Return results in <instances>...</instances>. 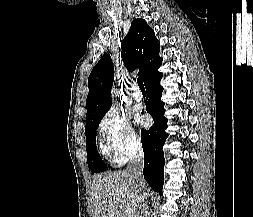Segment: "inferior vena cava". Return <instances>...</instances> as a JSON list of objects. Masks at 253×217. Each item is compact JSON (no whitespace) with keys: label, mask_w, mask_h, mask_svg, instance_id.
Wrapping results in <instances>:
<instances>
[{"label":"inferior vena cava","mask_w":253,"mask_h":217,"mask_svg":"<svg viewBox=\"0 0 253 217\" xmlns=\"http://www.w3.org/2000/svg\"><path fill=\"white\" fill-rule=\"evenodd\" d=\"M144 162V154L141 144H137L130 154V161L126 170L131 174L132 179L134 180V193L137 196L138 207L141 210V214H138V217H145L147 214V185L143 179H139L142 176Z\"/></svg>","instance_id":"1"}]
</instances>
